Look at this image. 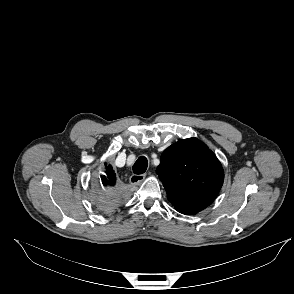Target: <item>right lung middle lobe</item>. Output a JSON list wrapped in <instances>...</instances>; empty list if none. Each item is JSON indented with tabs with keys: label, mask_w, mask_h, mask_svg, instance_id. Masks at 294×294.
<instances>
[{
	"label": "right lung middle lobe",
	"mask_w": 294,
	"mask_h": 294,
	"mask_svg": "<svg viewBox=\"0 0 294 294\" xmlns=\"http://www.w3.org/2000/svg\"><path fill=\"white\" fill-rule=\"evenodd\" d=\"M102 185H96L91 200L100 211L107 212L120 204L123 199V193L117 188L112 190L104 189V185Z\"/></svg>",
	"instance_id": "dd1d6c3e"
}]
</instances>
